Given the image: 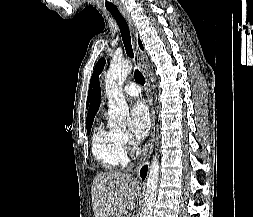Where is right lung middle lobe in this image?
I'll return each instance as SVG.
<instances>
[{
    "label": "right lung middle lobe",
    "mask_w": 253,
    "mask_h": 217,
    "mask_svg": "<svg viewBox=\"0 0 253 217\" xmlns=\"http://www.w3.org/2000/svg\"><path fill=\"white\" fill-rule=\"evenodd\" d=\"M92 124H93V122L87 123V133H88V134H89L90 131H91Z\"/></svg>",
    "instance_id": "dd1d6c3e"
}]
</instances>
